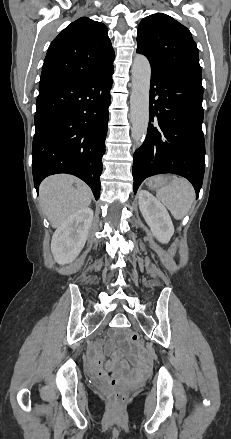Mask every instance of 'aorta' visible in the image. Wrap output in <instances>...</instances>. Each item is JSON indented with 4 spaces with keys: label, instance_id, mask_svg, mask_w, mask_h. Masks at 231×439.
I'll use <instances>...</instances> for the list:
<instances>
[{
    "label": "aorta",
    "instance_id": "1",
    "mask_svg": "<svg viewBox=\"0 0 231 439\" xmlns=\"http://www.w3.org/2000/svg\"><path fill=\"white\" fill-rule=\"evenodd\" d=\"M151 66L143 55H137L132 65V92L130 97V114L132 138L141 144L147 134L149 123V90Z\"/></svg>",
    "mask_w": 231,
    "mask_h": 439
}]
</instances>
